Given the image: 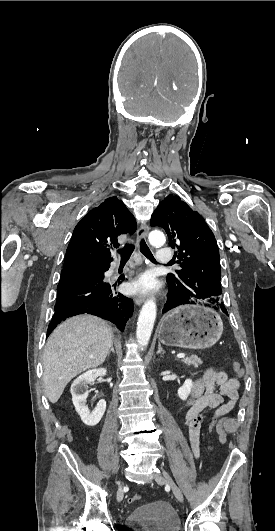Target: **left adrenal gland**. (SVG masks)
Masks as SVG:
<instances>
[{"label": "left adrenal gland", "instance_id": "left-adrenal-gland-1", "mask_svg": "<svg viewBox=\"0 0 275 531\" xmlns=\"http://www.w3.org/2000/svg\"><path fill=\"white\" fill-rule=\"evenodd\" d=\"M159 353H165V351H163L162 347H161V343H158V351H157V355H159Z\"/></svg>", "mask_w": 275, "mask_h": 531}]
</instances>
